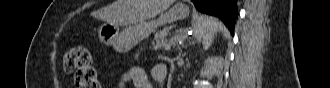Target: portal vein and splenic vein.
<instances>
[{"label":"portal vein and splenic vein","instance_id":"1","mask_svg":"<svg viewBox=\"0 0 330 88\" xmlns=\"http://www.w3.org/2000/svg\"><path fill=\"white\" fill-rule=\"evenodd\" d=\"M172 39H174V40H179V39H181V36H176V37H174V38H172Z\"/></svg>","mask_w":330,"mask_h":88}]
</instances>
